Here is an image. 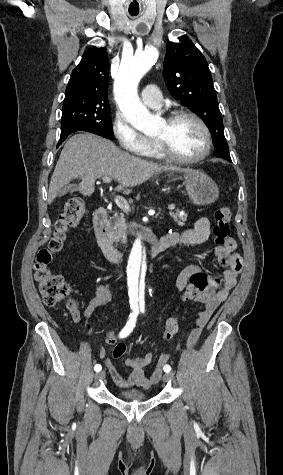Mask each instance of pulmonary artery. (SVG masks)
<instances>
[{
  "instance_id": "pulmonary-artery-1",
  "label": "pulmonary artery",
  "mask_w": 283,
  "mask_h": 475,
  "mask_svg": "<svg viewBox=\"0 0 283 475\" xmlns=\"http://www.w3.org/2000/svg\"><path fill=\"white\" fill-rule=\"evenodd\" d=\"M114 90H137V89H114ZM162 90L155 84H148L140 90L141 100L151 108H160L163 97Z\"/></svg>"
}]
</instances>
